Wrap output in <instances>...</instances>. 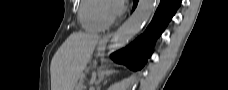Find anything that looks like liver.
<instances>
[{
  "mask_svg": "<svg viewBox=\"0 0 228 90\" xmlns=\"http://www.w3.org/2000/svg\"><path fill=\"white\" fill-rule=\"evenodd\" d=\"M100 37L84 32L72 33L51 61V90H74Z\"/></svg>",
  "mask_w": 228,
  "mask_h": 90,
  "instance_id": "6515ba94",
  "label": "liver"
}]
</instances>
